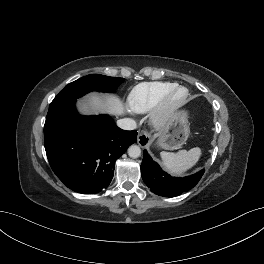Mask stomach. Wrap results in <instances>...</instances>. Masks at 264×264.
<instances>
[{
  "mask_svg": "<svg viewBox=\"0 0 264 264\" xmlns=\"http://www.w3.org/2000/svg\"><path fill=\"white\" fill-rule=\"evenodd\" d=\"M189 136L188 112H176L169 121L166 129L160 134L158 145L165 150L181 148Z\"/></svg>",
  "mask_w": 264,
  "mask_h": 264,
  "instance_id": "1",
  "label": "stomach"
}]
</instances>
